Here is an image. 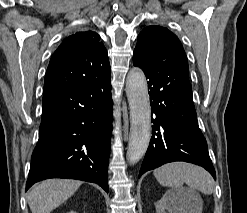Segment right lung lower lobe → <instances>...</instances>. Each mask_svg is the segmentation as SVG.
<instances>
[{
    "instance_id": "obj_1",
    "label": "right lung lower lobe",
    "mask_w": 247,
    "mask_h": 213,
    "mask_svg": "<svg viewBox=\"0 0 247 213\" xmlns=\"http://www.w3.org/2000/svg\"><path fill=\"white\" fill-rule=\"evenodd\" d=\"M112 105L110 74L43 96L26 191L44 179L70 178L107 192Z\"/></svg>"
}]
</instances>
